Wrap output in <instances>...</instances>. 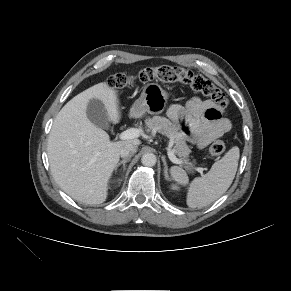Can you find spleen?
Here are the masks:
<instances>
[{
  "label": "spleen",
  "instance_id": "1",
  "mask_svg": "<svg viewBox=\"0 0 291 291\" xmlns=\"http://www.w3.org/2000/svg\"><path fill=\"white\" fill-rule=\"evenodd\" d=\"M239 156V148L235 146L215 162L208 173L195 178L188 188L186 199L188 207L202 208L219 199L233 182ZM170 172L178 184L185 186L189 183L188 176L182 168L173 166Z\"/></svg>",
  "mask_w": 291,
  "mask_h": 291
}]
</instances>
